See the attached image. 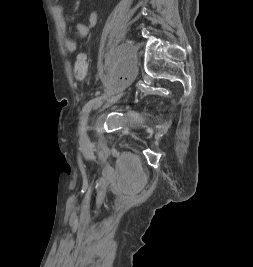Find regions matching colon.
<instances>
[{
    "mask_svg": "<svg viewBox=\"0 0 253 267\" xmlns=\"http://www.w3.org/2000/svg\"><path fill=\"white\" fill-rule=\"evenodd\" d=\"M87 68H88V64H87L86 57L85 55L80 54L74 63L75 78L78 80L85 79L87 75Z\"/></svg>",
    "mask_w": 253,
    "mask_h": 267,
    "instance_id": "colon-1",
    "label": "colon"
}]
</instances>
